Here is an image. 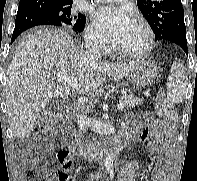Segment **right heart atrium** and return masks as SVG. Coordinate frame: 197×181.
Listing matches in <instances>:
<instances>
[{
  "instance_id": "1",
  "label": "right heart atrium",
  "mask_w": 197,
  "mask_h": 181,
  "mask_svg": "<svg viewBox=\"0 0 197 181\" xmlns=\"http://www.w3.org/2000/svg\"><path fill=\"white\" fill-rule=\"evenodd\" d=\"M86 39L90 45L99 49H105L109 42L107 36L94 23L87 27Z\"/></svg>"
}]
</instances>
